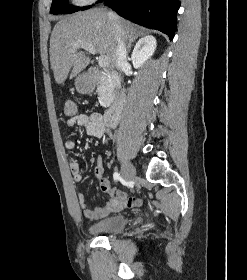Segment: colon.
<instances>
[{
    "label": "colon",
    "instance_id": "obj_1",
    "mask_svg": "<svg viewBox=\"0 0 247 280\" xmlns=\"http://www.w3.org/2000/svg\"><path fill=\"white\" fill-rule=\"evenodd\" d=\"M77 107L73 101H67L64 106V113L65 115L72 117L76 114Z\"/></svg>",
    "mask_w": 247,
    "mask_h": 280
}]
</instances>
